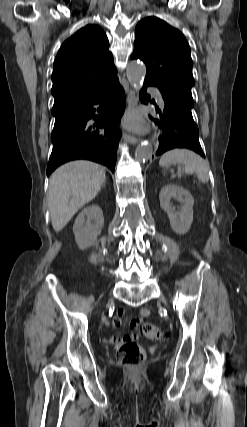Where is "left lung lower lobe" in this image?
Instances as JSON below:
<instances>
[{
    "instance_id": "0a47b994",
    "label": "left lung lower lobe",
    "mask_w": 247,
    "mask_h": 427,
    "mask_svg": "<svg viewBox=\"0 0 247 427\" xmlns=\"http://www.w3.org/2000/svg\"><path fill=\"white\" fill-rule=\"evenodd\" d=\"M151 86L144 83V89L140 93L142 103L148 104L150 96L146 94V87ZM165 106L161 111L156 108L159 118L149 115V118L155 122L161 129L159 137L160 143L156 155L174 148H186L205 155L199 143V130L193 120L191 109H188L179 103L166 98L162 95ZM152 104L154 101L151 102Z\"/></svg>"
}]
</instances>
